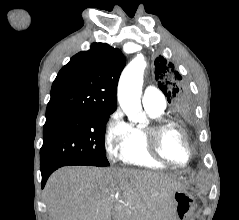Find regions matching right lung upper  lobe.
<instances>
[{
  "label": "right lung upper lobe",
  "mask_w": 239,
  "mask_h": 220,
  "mask_svg": "<svg viewBox=\"0 0 239 220\" xmlns=\"http://www.w3.org/2000/svg\"><path fill=\"white\" fill-rule=\"evenodd\" d=\"M122 52L106 43L73 56L52 84L46 115L111 112L117 107L116 90L125 67Z\"/></svg>",
  "instance_id": "obj_1"
}]
</instances>
